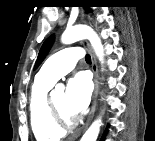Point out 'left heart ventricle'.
Wrapping results in <instances>:
<instances>
[{
	"label": "left heart ventricle",
	"instance_id": "left-heart-ventricle-1",
	"mask_svg": "<svg viewBox=\"0 0 155 141\" xmlns=\"http://www.w3.org/2000/svg\"><path fill=\"white\" fill-rule=\"evenodd\" d=\"M53 102L56 108L66 117L72 116L66 109L65 94L63 92H56L52 95Z\"/></svg>",
	"mask_w": 155,
	"mask_h": 141
}]
</instances>
